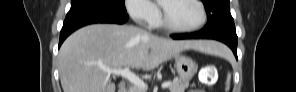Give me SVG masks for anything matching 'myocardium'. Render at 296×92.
Returning a JSON list of instances; mask_svg holds the SVG:
<instances>
[{
  "label": "myocardium",
  "instance_id": "myocardium-1",
  "mask_svg": "<svg viewBox=\"0 0 296 92\" xmlns=\"http://www.w3.org/2000/svg\"><path fill=\"white\" fill-rule=\"evenodd\" d=\"M189 1L194 2L198 6L200 13H201V18H200V21L198 22V24H196L195 26L190 27V28H181V27H178V26L174 25L173 23H171L170 20L168 19L167 12H166V5H167V2H169V1H162L161 2L162 24L167 29L174 31V32H179V33H192V32H195V31L201 29L205 25L206 20H207V13H206V9H205L204 4L199 0H189Z\"/></svg>",
  "mask_w": 296,
  "mask_h": 92
}]
</instances>
